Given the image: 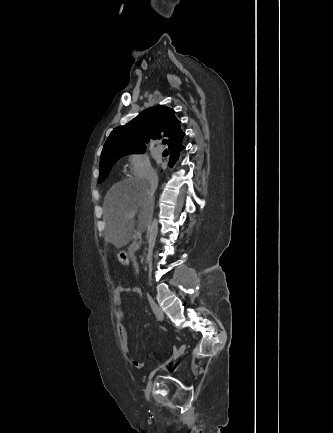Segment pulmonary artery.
<instances>
[{"instance_id":"e3ab8cb5","label":"pulmonary artery","mask_w":333,"mask_h":433,"mask_svg":"<svg viewBox=\"0 0 333 433\" xmlns=\"http://www.w3.org/2000/svg\"><path fill=\"white\" fill-rule=\"evenodd\" d=\"M157 152L160 153V154L164 152V148H163L162 145H158L157 146Z\"/></svg>"}]
</instances>
